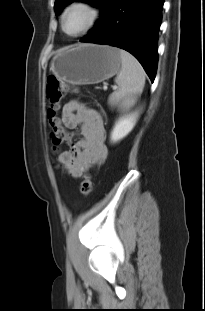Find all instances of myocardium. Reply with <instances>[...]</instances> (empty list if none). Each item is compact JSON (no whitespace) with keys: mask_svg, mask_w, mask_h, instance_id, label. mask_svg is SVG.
Masks as SVG:
<instances>
[{"mask_svg":"<svg viewBox=\"0 0 205 311\" xmlns=\"http://www.w3.org/2000/svg\"><path fill=\"white\" fill-rule=\"evenodd\" d=\"M74 7H82V8L87 9L90 13V18H89L87 25L81 31L74 33V34H70L65 30V20H66V16H67L68 12ZM100 16H101L100 9L91 1H89V0H72L71 2H69L66 5V7L63 10V13L61 16V29L67 36L80 37L95 27V25L97 24V22L100 19Z\"/></svg>","mask_w":205,"mask_h":311,"instance_id":"1","label":"myocardium"}]
</instances>
